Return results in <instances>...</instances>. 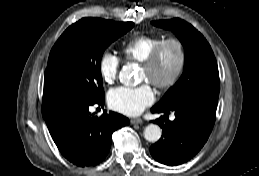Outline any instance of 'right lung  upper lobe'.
Returning <instances> with one entry per match:
<instances>
[{"label": "right lung upper lobe", "mask_w": 259, "mask_h": 176, "mask_svg": "<svg viewBox=\"0 0 259 176\" xmlns=\"http://www.w3.org/2000/svg\"><path fill=\"white\" fill-rule=\"evenodd\" d=\"M46 98H49V97H47V96H43V99H46Z\"/></svg>", "instance_id": "obj_1"}]
</instances>
